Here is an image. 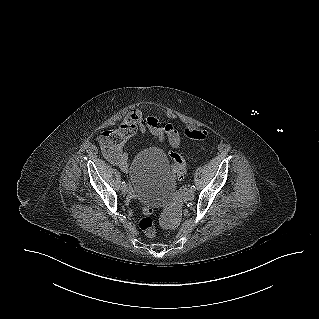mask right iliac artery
I'll return each instance as SVG.
<instances>
[{"label":"right iliac artery","instance_id":"right-iliac-artery-1","mask_svg":"<svg viewBox=\"0 0 319 319\" xmlns=\"http://www.w3.org/2000/svg\"><path fill=\"white\" fill-rule=\"evenodd\" d=\"M124 184H125V181L122 182V185H124Z\"/></svg>","mask_w":319,"mask_h":319}]
</instances>
